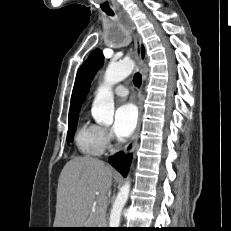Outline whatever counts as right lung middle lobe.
Masks as SVG:
<instances>
[{"mask_svg":"<svg viewBox=\"0 0 231 231\" xmlns=\"http://www.w3.org/2000/svg\"><path fill=\"white\" fill-rule=\"evenodd\" d=\"M78 122V116H74L71 118H68V133H67V141L71 142L73 140V136L76 130Z\"/></svg>","mask_w":231,"mask_h":231,"instance_id":"1","label":"right lung middle lobe"}]
</instances>
